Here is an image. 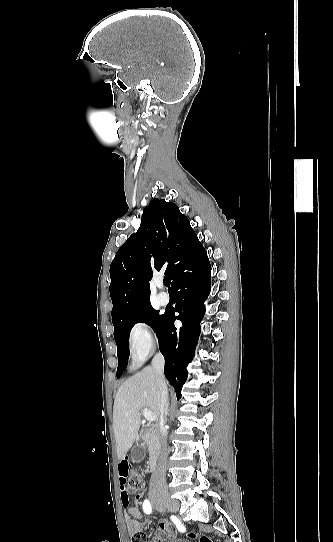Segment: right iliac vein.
Returning <instances> with one entry per match:
<instances>
[{
    "label": "right iliac vein",
    "instance_id": "right-iliac-vein-1",
    "mask_svg": "<svg viewBox=\"0 0 333 542\" xmlns=\"http://www.w3.org/2000/svg\"><path fill=\"white\" fill-rule=\"evenodd\" d=\"M152 497H155V495H153ZM163 497H164V502L163 504H160V505H164L166 508L173 509V510H177L179 508V503L177 500L171 499L168 496V494H164Z\"/></svg>",
    "mask_w": 333,
    "mask_h": 542
}]
</instances>
